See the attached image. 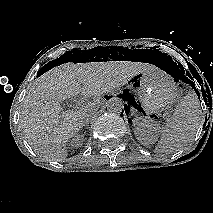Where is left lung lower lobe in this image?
Here are the masks:
<instances>
[{
	"label": "left lung lower lobe",
	"instance_id": "obj_1",
	"mask_svg": "<svg viewBox=\"0 0 213 213\" xmlns=\"http://www.w3.org/2000/svg\"><path fill=\"white\" fill-rule=\"evenodd\" d=\"M192 87L195 89V86L192 85ZM195 91H196V89H195ZM196 93H197V92H196ZM198 94H199V93H197V95H198ZM127 95H128L127 92H124L123 95H119V97H121V98L124 100V102H125V101L128 100ZM124 106H125V105H124ZM121 114H122V113H121Z\"/></svg>",
	"mask_w": 213,
	"mask_h": 213
}]
</instances>
